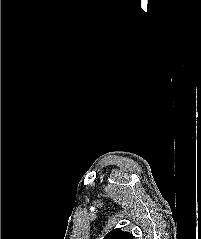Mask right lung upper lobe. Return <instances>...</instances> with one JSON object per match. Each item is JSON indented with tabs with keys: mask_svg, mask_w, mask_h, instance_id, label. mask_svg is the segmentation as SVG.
Returning <instances> with one entry per match:
<instances>
[{
	"mask_svg": "<svg viewBox=\"0 0 201 239\" xmlns=\"http://www.w3.org/2000/svg\"><path fill=\"white\" fill-rule=\"evenodd\" d=\"M104 239H133L129 232H123L120 229H114L108 233Z\"/></svg>",
	"mask_w": 201,
	"mask_h": 239,
	"instance_id": "1",
	"label": "right lung upper lobe"
}]
</instances>
